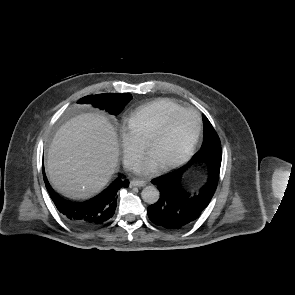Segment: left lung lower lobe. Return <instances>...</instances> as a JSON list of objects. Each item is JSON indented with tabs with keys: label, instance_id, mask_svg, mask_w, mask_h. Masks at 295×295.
Masks as SVG:
<instances>
[{
	"label": "left lung lower lobe",
	"instance_id": "obj_1",
	"mask_svg": "<svg viewBox=\"0 0 295 295\" xmlns=\"http://www.w3.org/2000/svg\"><path fill=\"white\" fill-rule=\"evenodd\" d=\"M222 154L209 153L198 158L208 165L209 177L207 183L199 192L191 194L181 186V176L192 164L170 174L153 179L160 191L159 200L147 208L150 220L170 230H177L195 221L210 203L219 179ZM194 163V162H193Z\"/></svg>",
	"mask_w": 295,
	"mask_h": 295
}]
</instances>
